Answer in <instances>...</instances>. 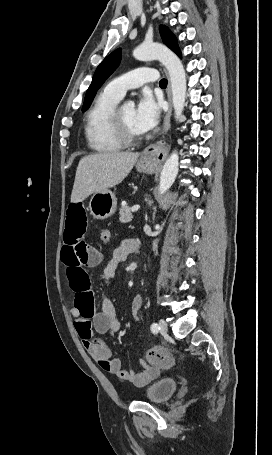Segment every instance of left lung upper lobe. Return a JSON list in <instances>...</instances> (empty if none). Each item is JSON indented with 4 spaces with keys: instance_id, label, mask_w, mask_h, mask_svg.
Masks as SVG:
<instances>
[{
    "instance_id": "5c2ea615",
    "label": "left lung upper lobe",
    "mask_w": 272,
    "mask_h": 455,
    "mask_svg": "<svg viewBox=\"0 0 272 455\" xmlns=\"http://www.w3.org/2000/svg\"><path fill=\"white\" fill-rule=\"evenodd\" d=\"M160 34L162 37V41L166 44L172 51H174L178 56L181 55L180 49L178 47L177 39L173 35V33L168 29V27L161 25L160 26ZM121 60V50L117 49L108 55L97 67L91 85L89 86L85 100L83 104L82 111L87 110L93 98L96 95L97 90L101 87V85L105 82V80L114 72V70L118 67Z\"/></svg>"
}]
</instances>
